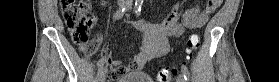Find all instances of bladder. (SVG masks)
Returning a JSON list of instances; mask_svg holds the SVG:
<instances>
[{"instance_id": "bladder-1", "label": "bladder", "mask_w": 279, "mask_h": 82, "mask_svg": "<svg viewBox=\"0 0 279 82\" xmlns=\"http://www.w3.org/2000/svg\"><path fill=\"white\" fill-rule=\"evenodd\" d=\"M115 82H153L148 74L144 72H130L117 78Z\"/></svg>"}]
</instances>
